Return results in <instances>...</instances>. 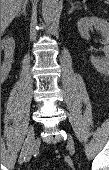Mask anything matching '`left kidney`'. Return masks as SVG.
Masks as SVG:
<instances>
[{
    "label": "left kidney",
    "instance_id": "5707ae66",
    "mask_svg": "<svg viewBox=\"0 0 109 170\" xmlns=\"http://www.w3.org/2000/svg\"><path fill=\"white\" fill-rule=\"evenodd\" d=\"M77 27L81 37L83 38H89V30L91 28H95L101 32L104 37L105 44H109V22L107 20L95 16L83 17L78 21ZM103 51L105 53V57L100 59L91 56V63L97 71L105 74L109 71V47H105Z\"/></svg>",
    "mask_w": 109,
    "mask_h": 170
}]
</instances>
